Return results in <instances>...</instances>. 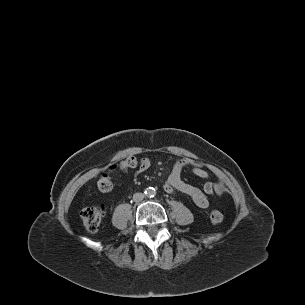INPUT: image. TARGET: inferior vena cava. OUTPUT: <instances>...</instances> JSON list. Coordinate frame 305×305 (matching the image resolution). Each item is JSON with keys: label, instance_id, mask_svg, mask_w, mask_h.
Instances as JSON below:
<instances>
[{"label": "inferior vena cava", "instance_id": "obj_1", "mask_svg": "<svg viewBox=\"0 0 305 305\" xmlns=\"http://www.w3.org/2000/svg\"><path fill=\"white\" fill-rule=\"evenodd\" d=\"M143 198H144V194L143 193H135L134 196H133V199L135 201H141V200H143Z\"/></svg>", "mask_w": 305, "mask_h": 305}]
</instances>
